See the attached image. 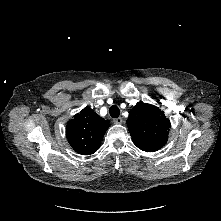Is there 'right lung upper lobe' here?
<instances>
[{
	"label": "right lung upper lobe",
	"mask_w": 221,
	"mask_h": 221,
	"mask_svg": "<svg viewBox=\"0 0 221 221\" xmlns=\"http://www.w3.org/2000/svg\"><path fill=\"white\" fill-rule=\"evenodd\" d=\"M109 126L108 120H104L91 108L85 107L67 123L66 137L78 154L90 155L100 147Z\"/></svg>",
	"instance_id": "cb5924a9"
}]
</instances>
